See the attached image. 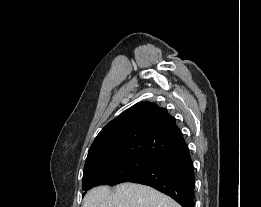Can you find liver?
Here are the masks:
<instances>
[{"label":"liver","instance_id":"6515ba94","mask_svg":"<svg viewBox=\"0 0 261 207\" xmlns=\"http://www.w3.org/2000/svg\"><path fill=\"white\" fill-rule=\"evenodd\" d=\"M82 207H181L169 196L149 186L122 183L111 192L109 186H97L87 192Z\"/></svg>","mask_w":261,"mask_h":207}]
</instances>
